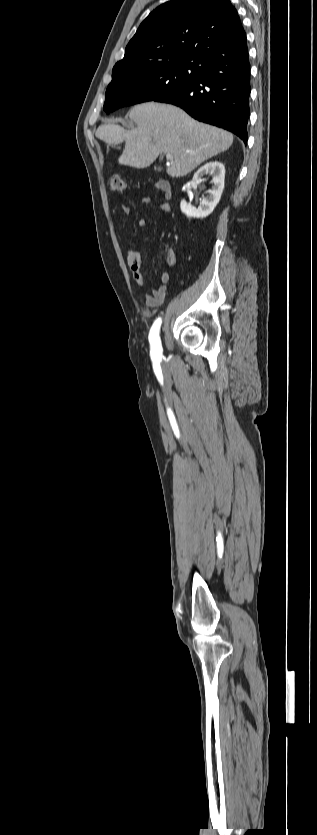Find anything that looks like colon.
Instances as JSON below:
<instances>
[{"mask_svg":"<svg viewBox=\"0 0 317 835\" xmlns=\"http://www.w3.org/2000/svg\"><path fill=\"white\" fill-rule=\"evenodd\" d=\"M108 188L111 192H121L126 188V183L121 176L114 174L108 180Z\"/></svg>","mask_w":317,"mask_h":835,"instance_id":"colon-1","label":"colon"}]
</instances>
